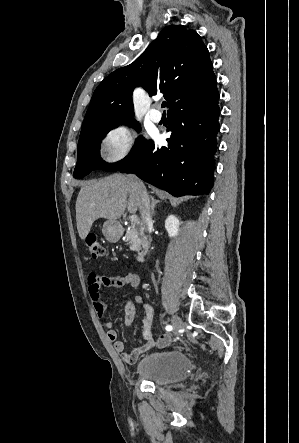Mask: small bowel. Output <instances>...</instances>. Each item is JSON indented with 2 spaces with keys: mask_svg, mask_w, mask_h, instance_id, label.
<instances>
[{
  "mask_svg": "<svg viewBox=\"0 0 299 443\" xmlns=\"http://www.w3.org/2000/svg\"><path fill=\"white\" fill-rule=\"evenodd\" d=\"M125 285L139 288L141 279L137 274L128 273L126 275H95L90 274L88 279V290L94 309L99 317H104L107 313V304L103 298L101 289L103 287L119 288ZM136 304L141 305L144 309V317L142 320V342L141 345L134 350L125 351L123 341L118 340L117 332L114 330L112 323L107 322L106 334L109 341L113 343L114 350L121 355L123 362L127 365H133L141 354L157 347H167L172 338L169 334L156 335L152 331L154 311L150 304L146 303L143 298L137 295L133 300H128L125 303L124 310V325L129 327L133 324L136 318Z\"/></svg>",
  "mask_w": 299,
  "mask_h": 443,
  "instance_id": "1",
  "label": "small bowel"
}]
</instances>
